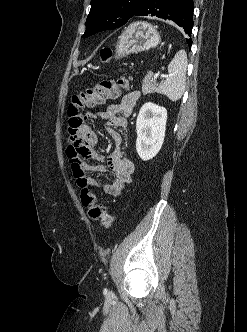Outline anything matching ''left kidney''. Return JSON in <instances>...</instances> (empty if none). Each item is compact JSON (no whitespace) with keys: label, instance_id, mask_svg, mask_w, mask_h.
Listing matches in <instances>:
<instances>
[{"label":"left kidney","instance_id":"5707ae66","mask_svg":"<svg viewBox=\"0 0 247 332\" xmlns=\"http://www.w3.org/2000/svg\"><path fill=\"white\" fill-rule=\"evenodd\" d=\"M167 110L154 103H145L136 122V150L143 161L155 157L160 151L166 130Z\"/></svg>","mask_w":247,"mask_h":332}]
</instances>
